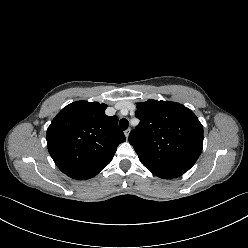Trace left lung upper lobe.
<instances>
[{"label": "left lung upper lobe", "mask_w": 248, "mask_h": 248, "mask_svg": "<svg viewBox=\"0 0 248 248\" xmlns=\"http://www.w3.org/2000/svg\"><path fill=\"white\" fill-rule=\"evenodd\" d=\"M139 125L129 142L140 162L161 178H176L196 162L203 147V126L176 102L148 100L137 104Z\"/></svg>", "instance_id": "obj_1"}]
</instances>
